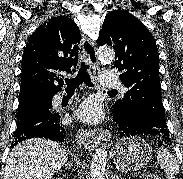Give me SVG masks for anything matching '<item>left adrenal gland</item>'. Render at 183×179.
Wrapping results in <instances>:
<instances>
[{
	"label": "left adrenal gland",
	"instance_id": "left-adrenal-gland-1",
	"mask_svg": "<svg viewBox=\"0 0 183 179\" xmlns=\"http://www.w3.org/2000/svg\"><path fill=\"white\" fill-rule=\"evenodd\" d=\"M112 179H120V176H118L117 174H114V176H112Z\"/></svg>",
	"mask_w": 183,
	"mask_h": 179
}]
</instances>
